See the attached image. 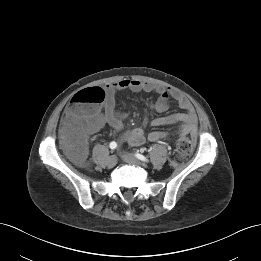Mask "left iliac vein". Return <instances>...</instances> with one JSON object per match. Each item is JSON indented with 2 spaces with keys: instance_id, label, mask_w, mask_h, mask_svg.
<instances>
[{
  "instance_id": "1",
  "label": "left iliac vein",
  "mask_w": 261,
  "mask_h": 261,
  "mask_svg": "<svg viewBox=\"0 0 261 261\" xmlns=\"http://www.w3.org/2000/svg\"><path fill=\"white\" fill-rule=\"evenodd\" d=\"M122 159L129 163V164H133V165H138V166H143L142 162H140L134 155L132 154H128L125 153L122 155Z\"/></svg>"
}]
</instances>
